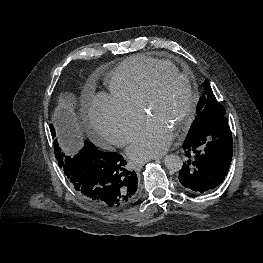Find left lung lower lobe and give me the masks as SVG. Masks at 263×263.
Segmentation results:
<instances>
[{"label":"left lung lower lobe","instance_id":"obj_1","mask_svg":"<svg viewBox=\"0 0 263 263\" xmlns=\"http://www.w3.org/2000/svg\"><path fill=\"white\" fill-rule=\"evenodd\" d=\"M186 161L179 172L180 183L194 193H208L225 179L233 154L228 120L218 117L183 143Z\"/></svg>","mask_w":263,"mask_h":263}]
</instances>
